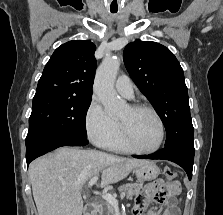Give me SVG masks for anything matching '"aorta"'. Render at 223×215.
Wrapping results in <instances>:
<instances>
[{"label": "aorta", "instance_id": "aorta-1", "mask_svg": "<svg viewBox=\"0 0 223 215\" xmlns=\"http://www.w3.org/2000/svg\"><path fill=\"white\" fill-rule=\"evenodd\" d=\"M120 68V60L116 56H105L97 68L93 90L102 102L106 113L117 117L126 108L125 100L118 98L114 90V82Z\"/></svg>", "mask_w": 223, "mask_h": 215}]
</instances>
